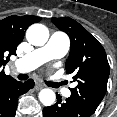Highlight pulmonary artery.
<instances>
[{
	"mask_svg": "<svg viewBox=\"0 0 117 117\" xmlns=\"http://www.w3.org/2000/svg\"><path fill=\"white\" fill-rule=\"evenodd\" d=\"M68 48L69 39L67 35L62 32H55L46 45L18 59L14 66L20 72L31 71L50 60L62 58L67 53ZM64 95L70 96V91L64 90Z\"/></svg>",
	"mask_w": 117,
	"mask_h": 117,
	"instance_id": "obj_1",
	"label": "pulmonary artery"
}]
</instances>
